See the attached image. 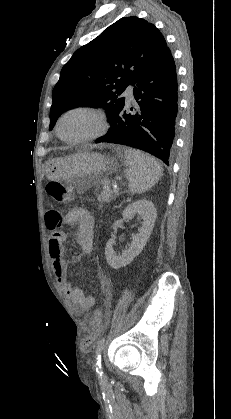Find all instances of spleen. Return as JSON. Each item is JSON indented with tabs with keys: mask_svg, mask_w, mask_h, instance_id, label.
Here are the masks:
<instances>
[{
	"mask_svg": "<svg viewBox=\"0 0 231 419\" xmlns=\"http://www.w3.org/2000/svg\"><path fill=\"white\" fill-rule=\"evenodd\" d=\"M125 159L129 190L132 194H141L152 188L163 175L162 168L152 156L131 148H126Z\"/></svg>",
	"mask_w": 231,
	"mask_h": 419,
	"instance_id": "spleen-1",
	"label": "spleen"
}]
</instances>
